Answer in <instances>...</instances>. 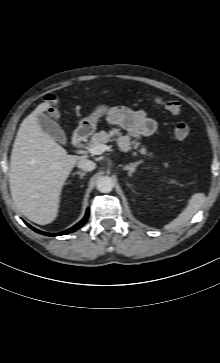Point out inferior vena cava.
<instances>
[{"instance_id":"602c4592","label":"inferior vena cava","mask_w":220,"mask_h":363,"mask_svg":"<svg viewBox=\"0 0 220 363\" xmlns=\"http://www.w3.org/2000/svg\"><path fill=\"white\" fill-rule=\"evenodd\" d=\"M78 168H80L83 171L89 172L96 168V163L91 160L82 158L78 161Z\"/></svg>"}]
</instances>
